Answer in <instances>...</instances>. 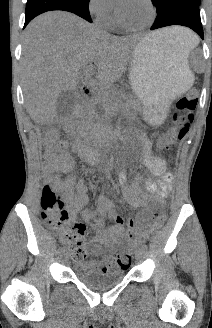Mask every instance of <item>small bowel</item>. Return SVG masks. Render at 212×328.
Returning a JSON list of instances; mask_svg holds the SVG:
<instances>
[{"label": "small bowel", "mask_w": 212, "mask_h": 328, "mask_svg": "<svg viewBox=\"0 0 212 328\" xmlns=\"http://www.w3.org/2000/svg\"><path fill=\"white\" fill-rule=\"evenodd\" d=\"M68 149L74 151L75 144L61 141L56 146H48L44 152L43 170L47 178L64 194L70 219L79 223L76 222V219L81 216L85 221L93 222L94 236L91 245L95 250L96 257L92 261L100 271L108 272L118 267L108 261L116 247L123 240L134 239L144 228L149 226L150 215L145 209L149 199L136 187H131L128 184L127 173L121 172L118 182L126 203L130 209H140L141 211L135 219H127L117 212L110 201L101 198L98 202L99 211L114 221L112 226L106 228L101 217L84 207L88 201L87 185L84 180H81L75 188L74 162ZM143 163L160 178L158 182L147 181L146 188L149 192L156 194L154 201L162 205L170 194L173 176L166 162L151 153L147 140H144ZM86 256L87 254L80 259H84Z\"/></svg>", "instance_id": "1"}]
</instances>
